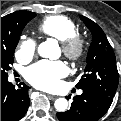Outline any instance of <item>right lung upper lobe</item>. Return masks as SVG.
<instances>
[{
  "instance_id": "1",
  "label": "right lung upper lobe",
  "mask_w": 121,
  "mask_h": 121,
  "mask_svg": "<svg viewBox=\"0 0 121 121\" xmlns=\"http://www.w3.org/2000/svg\"><path fill=\"white\" fill-rule=\"evenodd\" d=\"M29 11H17L11 14H8L1 18V28L9 26L11 23L20 20L21 18L27 16Z\"/></svg>"
}]
</instances>
